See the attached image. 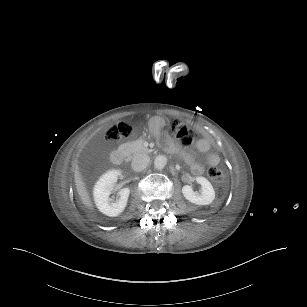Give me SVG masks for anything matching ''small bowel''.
<instances>
[{"mask_svg": "<svg viewBox=\"0 0 307 307\" xmlns=\"http://www.w3.org/2000/svg\"><path fill=\"white\" fill-rule=\"evenodd\" d=\"M196 150L204 156L205 163L209 166L218 165L220 162V157L218 154L211 151V141L208 138H201L197 141L195 145ZM186 160L191 167V170L196 175H201L205 166L202 162L196 159L195 155L188 153Z\"/></svg>", "mask_w": 307, "mask_h": 307, "instance_id": "c3829d8e", "label": "small bowel"}]
</instances>
